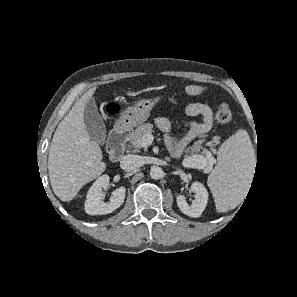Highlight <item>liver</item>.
<instances>
[{"mask_svg":"<svg viewBox=\"0 0 297 297\" xmlns=\"http://www.w3.org/2000/svg\"><path fill=\"white\" fill-rule=\"evenodd\" d=\"M96 87L85 92L59 123L48 156V170L55 195L69 202L88 182L100 176L106 165L102 162L99 144L90 138L84 123L86 103Z\"/></svg>","mask_w":297,"mask_h":297,"instance_id":"6515ba94","label":"liver"}]
</instances>
